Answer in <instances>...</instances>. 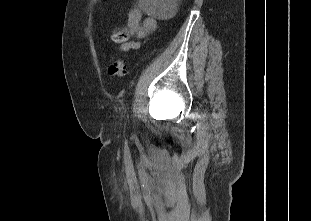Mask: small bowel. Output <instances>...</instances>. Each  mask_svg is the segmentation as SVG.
<instances>
[{"instance_id": "c3829d8e", "label": "small bowel", "mask_w": 311, "mask_h": 221, "mask_svg": "<svg viewBox=\"0 0 311 221\" xmlns=\"http://www.w3.org/2000/svg\"><path fill=\"white\" fill-rule=\"evenodd\" d=\"M157 27V20L154 17H146L142 20V13L139 9L130 11L127 18V31L136 38H143L147 34L153 32ZM138 42H124L120 46V50L125 52L131 49H137Z\"/></svg>"}]
</instances>
